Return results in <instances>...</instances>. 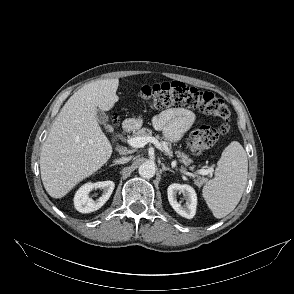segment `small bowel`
I'll return each instance as SVG.
<instances>
[{
    "label": "small bowel",
    "mask_w": 294,
    "mask_h": 294,
    "mask_svg": "<svg viewBox=\"0 0 294 294\" xmlns=\"http://www.w3.org/2000/svg\"><path fill=\"white\" fill-rule=\"evenodd\" d=\"M195 121V115L185 108H169L154 117L153 125L163 131L172 142L178 141L190 129Z\"/></svg>",
    "instance_id": "1"
}]
</instances>
